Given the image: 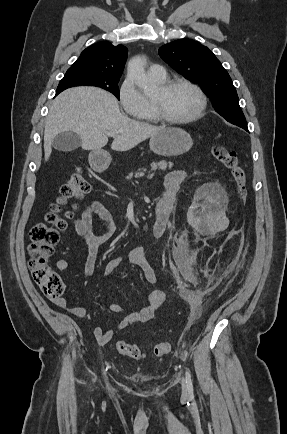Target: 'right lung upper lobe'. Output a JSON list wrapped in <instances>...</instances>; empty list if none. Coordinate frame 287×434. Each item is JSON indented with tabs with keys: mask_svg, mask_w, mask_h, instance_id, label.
<instances>
[{
	"mask_svg": "<svg viewBox=\"0 0 287 434\" xmlns=\"http://www.w3.org/2000/svg\"><path fill=\"white\" fill-rule=\"evenodd\" d=\"M127 59V48L102 41L86 48L77 61L68 69L92 76L120 78ZM60 90L57 91L59 94Z\"/></svg>",
	"mask_w": 287,
	"mask_h": 434,
	"instance_id": "right-lung-upper-lobe-1",
	"label": "right lung upper lobe"
}]
</instances>
